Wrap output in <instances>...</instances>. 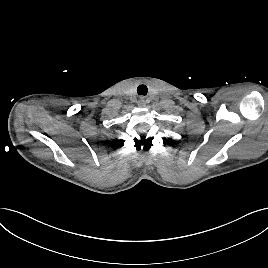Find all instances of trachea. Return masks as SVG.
I'll return each mask as SVG.
<instances>
[{
  "label": "trachea",
  "instance_id": "obj_1",
  "mask_svg": "<svg viewBox=\"0 0 268 268\" xmlns=\"http://www.w3.org/2000/svg\"><path fill=\"white\" fill-rule=\"evenodd\" d=\"M147 92H148V89H147V87H146V85H139L138 86V88H137V93L139 94V95H143V96H145L146 94H147Z\"/></svg>",
  "mask_w": 268,
  "mask_h": 268
}]
</instances>
